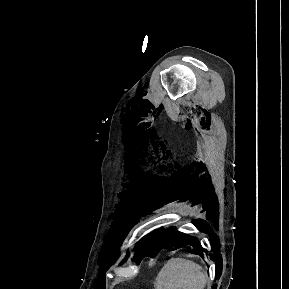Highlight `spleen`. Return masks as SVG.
<instances>
[{"instance_id":"3e777b00","label":"spleen","mask_w":289,"mask_h":289,"mask_svg":"<svg viewBox=\"0 0 289 289\" xmlns=\"http://www.w3.org/2000/svg\"><path fill=\"white\" fill-rule=\"evenodd\" d=\"M208 276L194 261L171 258L158 273L155 289H204Z\"/></svg>"}]
</instances>
